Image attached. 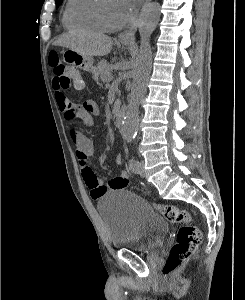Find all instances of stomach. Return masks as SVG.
Listing matches in <instances>:
<instances>
[{"instance_id":"0dacf381","label":"stomach","mask_w":245,"mask_h":300,"mask_svg":"<svg viewBox=\"0 0 245 300\" xmlns=\"http://www.w3.org/2000/svg\"><path fill=\"white\" fill-rule=\"evenodd\" d=\"M123 44L128 45L129 43ZM63 60L66 64L84 71H91L93 69L94 59L91 56L83 55L72 49H67L63 52Z\"/></svg>"}]
</instances>
